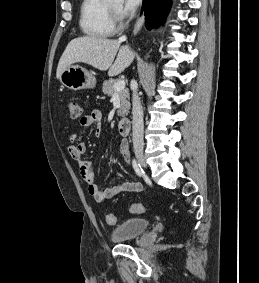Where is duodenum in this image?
Wrapping results in <instances>:
<instances>
[{"instance_id": "obj_1", "label": "duodenum", "mask_w": 259, "mask_h": 283, "mask_svg": "<svg viewBox=\"0 0 259 283\" xmlns=\"http://www.w3.org/2000/svg\"><path fill=\"white\" fill-rule=\"evenodd\" d=\"M129 129H130L129 118H122L121 120H119L117 124V130L120 135L122 136L127 135L129 133Z\"/></svg>"}]
</instances>
